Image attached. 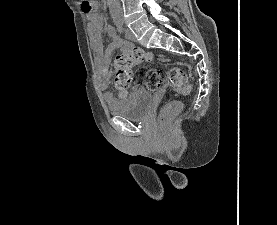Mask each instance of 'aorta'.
I'll return each mask as SVG.
<instances>
[{"mask_svg": "<svg viewBox=\"0 0 277 225\" xmlns=\"http://www.w3.org/2000/svg\"><path fill=\"white\" fill-rule=\"evenodd\" d=\"M108 6L113 20H120L122 17V10L119 0H108Z\"/></svg>", "mask_w": 277, "mask_h": 225, "instance_id": "762f6f07", "label": "aorta"}]
</instances>
